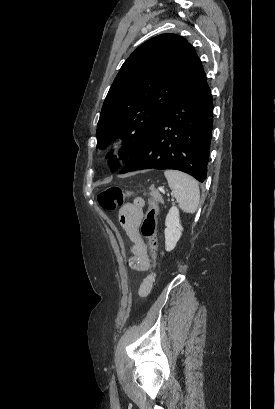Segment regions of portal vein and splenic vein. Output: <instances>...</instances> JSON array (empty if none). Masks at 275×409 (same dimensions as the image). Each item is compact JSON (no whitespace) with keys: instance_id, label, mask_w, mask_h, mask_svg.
I'll return each mask as SVG.
<instances>
[{"instance_id":"portal-vein-and-splenic-vein-1","label":"portal vein and splenic vein","mask_w":275,"mask_h":409,"mask_svg":"<svg viewBox=\"0 0 275 409\" xmlns=\"http://www.w3.org/2000/svg\"><path fill=\"white\" fill-rule=\"evenodd\" d=\"M159 190H161V192H165L163 186H159Z\"/></svg>"}]
</instances>
